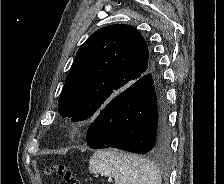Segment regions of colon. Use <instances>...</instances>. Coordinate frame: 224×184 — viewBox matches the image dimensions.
<instances>
[{"mask_svg":"<svg viewBox=\"0 0 224 184\" xmlns=\"http://www.w3.org/2000/svg\"><path fill=\"white\" fill-rule=\"evenodd\" d=\"M47 173H56L60 175L65 180L66 184H91L76 176L75 173L65 165H52L47 168Z\"/></svg>","mask_w":224,"mask_h":184,"instance_id":"5ec220e1","label":"colon"}]
</instances>
